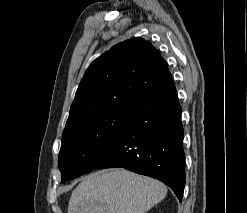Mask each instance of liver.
<instances>
[{
  "instance_id": "liver-1",
  "label": "liver",
  "mask_w": 247,
  "mask_h": 213,
  "mask_svg": "<svg viewBox=\"0 0 247 213\" xmlns=\"http://www.w3.org/2000/svg\"><path fill=\"white\" fill-rule=\"evenodd\" d=\"M160 181L123 168L92 173L72 191L67 213H145L162 201Z\"/></svg>"
}]
</instances>
